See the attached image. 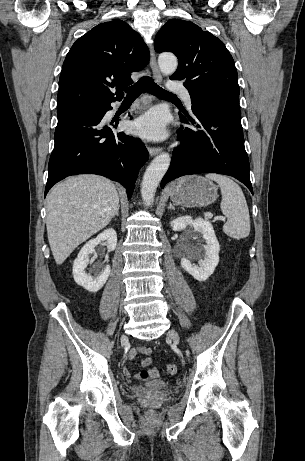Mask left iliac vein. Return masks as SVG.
Here are the masks:
<instances>
[{
    "label": "left iliac vein",
    "mask_w": 305,
    "mask_h": 461,
    "mask_svg": "<svg viewBox=\"0 0 305 461\" xmlns=\"http://www.w3.org/2000/svg\"><path fill=\"white\" fill-rule=\"evenodd\" d=\"M167 335H168L169 337H171V338H172L173 340H175V341H179V340H180L179 334L177 333V331H175V330H173V329L170 330V331H168Z\"/></svg>",
    "instance_id": "1"
}]
</instances>
